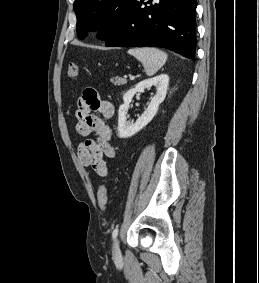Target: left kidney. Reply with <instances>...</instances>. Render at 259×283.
<instances>
[{
  "mask_svg": "<svg viewBox=\"0 0 259 283\" xmlns=\"http://www.w3.org/2000/svg\"><path fill=\"white\" fill-rule=\"evenodd\" d=\"M169 76L161 74L151 79H146L138 83L134 88L129 89L123 95V104L118 111V136L119 138H129L144 128L156 115L159 105L164 101L168 89ZM156 87V94L151 97V102L143 114L136 122L127 121V114L132 98L137 92Z\"/></svg>",
  "mask_w": 259,
  "mask_h": 283,
  "instance_id": "obj_1",
  "label": "left kidney"
}]
</instances>
